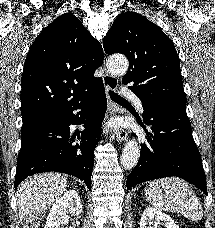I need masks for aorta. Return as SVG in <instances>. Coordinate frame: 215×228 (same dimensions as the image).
Wrapping results in <instances>:
<instances>
[{
    "label": "aorta",
    "mask_w": 215,
    "mask_h": 228,
    "mask_svg": "<svg viewBox=\"0 0 215 228\" xmlns=\"http://www.w3.org/2000/svg\"><path fill=\"white\" fill-rule=\"evenodd\" d=\"M129 68V62L124 56H115L111 58L108 64V70L111 74H125ZM140 158V146L136 140L127 142L121 156V164L124 170H132L138 164Z\"/></svg>",
    "instance_id": "762f6f07"
}]
</instances>
